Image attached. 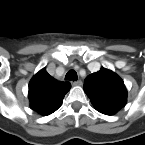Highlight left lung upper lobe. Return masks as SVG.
<instances>
[{
  "mask_svg": "<svg viewBox=\"0 0 145 145\" xmlns=\"http://www.w3.org/2000/svg\"><path fill=\"white\" fill-rule=\"evenodd\" d=\"M84 91L100 113L113 115L126 105L124 82L109 69L101 68L89 75L84 81Z\"/></svg>",
  "mask_w": 145,
  "mask_h": 145,
  "instance_id": "1",
  "label": "left lung upper lobe"
}]
</instances>
